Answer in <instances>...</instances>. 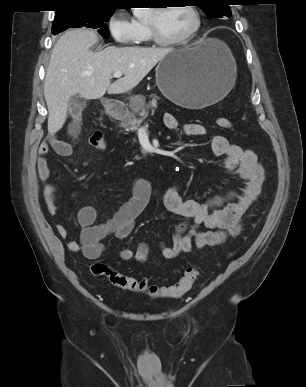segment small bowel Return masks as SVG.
Here are the masks:
<instances>
[{"mask_svg": "<svg viewBox=\"0 0 306 387\" xmlns=\"http://www.w3.org/2000/svg\"><path fill=\"white\" fill-rule=\"evenodd\" d=\"M164 125L175 130L179 127L176 117L171 113L163 116ZM79 123L70 124L68 133L71 137L77 135ZM186 136H203L207 133L205 126L199 123L183 125ZM52 148L60 156H70L73 146L70 141L62 140L52 135L43 141L39 147L37 172L41 180L50 177V169L46 158ZM211 150L214 156L222 157L228 173L238 176L242 183L237 190H230L224 195H215L205 200L184 199L176 186L167 188L162 194L166 209L180 217L179 223L169 246L160 242V253L165 259H174L183 253L190 252L194 246L203 248L221 244L228 236H235L241 230V219L261 193L264 182V169L256 154L249 148L231 143L221 135L211 140ZM56 189L46 185L43 197L50 213L56 212L54 203ZM155 194L150 183L145 179H137L132 186L131 197L120 205L114 215L97 222L98 213L94 207L83 206L77 211V221L82 227L79 241L68 242V249L81 251L90 260H95L104 251V241L110 237L122 240L130 236L135 227L137 217L147 206ZM204 227L206 230L201 231ZM58 234L62 238L68 236L63 225H57ZM123 261L135 260L145 263L151 259L150 247L146 242L139 243L135 248H124L119 252Z\"/></svg>", "mask_w": 306, "mask_h": 387, "instance_id": "c3829d8e", "label": "small bowel"}]
</instances>
